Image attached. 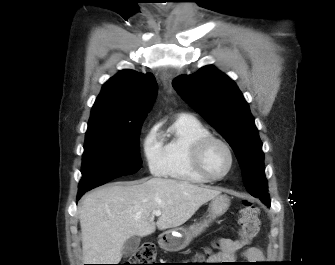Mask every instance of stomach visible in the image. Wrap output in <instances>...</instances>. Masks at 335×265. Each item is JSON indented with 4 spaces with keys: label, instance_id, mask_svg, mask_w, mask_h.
Listing matches in <instances>:
<instances>
[{
    "label": "stomach",
    "instance_id": "obj_1",
    "mask_svg": "<svg viewBox=\"0 0 335 265\" xmlns=\"http://www.w3.org/2000/svg\"><path fill=\"white\" fill-rule=\"evenodd\" d=\"M230 206V198L227 195H218L213 198L209 204L208 216L194 223L188 228H179L162 233L159 236V245L162 249L169 252H177L192 241L193 238L200 235L209 224L216 218L222 216Z\"/></svg>",
    "mask_w": 335,
    "mask_h": 265
}]
</instances>
